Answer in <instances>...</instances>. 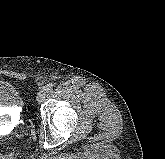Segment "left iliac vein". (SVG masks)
<instances>
[{"label": "left iliac vein", "instance_id": "1", "mask_svg": "<svg viewBox=\"0 0 165 159\" xmlns=\"http://www.w3.org/2000/svg\"><path fill=\"white\" fill-rule=\"evenodd\" d=\"M46 91L44 89L40 90L39 93L37 94L36 101L38 103H42L45 101L46 98Z\"/></svg>", "mask_w": 165, "mask_h": 159}]
</instances>
